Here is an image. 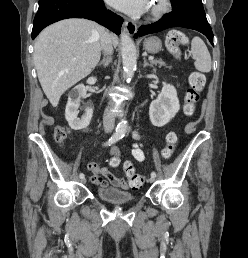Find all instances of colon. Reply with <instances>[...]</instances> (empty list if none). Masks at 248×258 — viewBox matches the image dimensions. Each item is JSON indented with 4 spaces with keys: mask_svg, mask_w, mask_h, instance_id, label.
I'll return each instance as SVG.
<instances>
[{
    "mask_svg": "<svg viewBox=\"0 0 248 258\" xmlns=\"http://www.w3.org/2000/svg\"><path fill=\"white\" fill-rule=\"evenodd\" d=\"M186 43V37L179 31H172L168 35L166 45L168 50L175 56L181 55V46ZM205 86V76L199 71H192L189 75V87L185 93L184 100V114L187 117H191L196 108V104L200 100V95ZM69 134V130L65 126H58L54 131L55 140L59 143L64 142ZM177 141V135L175 132L171 131L166 136V146L162 151V156L164 158H169L174 150L175 143ZM121 145H112L111 157L109 159V164L112 166L113 170H118V165L120 164V154ZM121 168L125 169L126 175L128 176L130 183L133 187L139 188L145 181V176L137 174L135 172L134 158H124L121 161Z\"/></svg>",
    "mask_w": 248,
    "mask_h": 258,
    "instance_id": "colon-1",
    "label": "colon"
}]
</instances>
